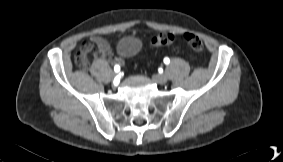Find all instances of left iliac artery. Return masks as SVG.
Here are the masks:
<instances>
[{"mask_svg": "<svg viewBox=\"0 0 283 162\" xmlns=\"http://www.w3.org/2000/svg\"><path fill=\"white\" fill-rule=\"evenodd\" d=\"M169 62H170L169 58H165V59H164V63H165V64H169Z\"/></svg>", "mask_w": 283, "mask_h": 162, "instance_id": "44dca946", "label": "left iliac artery"}]
</instances>
